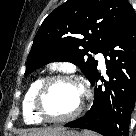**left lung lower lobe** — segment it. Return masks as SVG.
<instances>
[{
  "mask_svg": "<svg viewBox=\"0 0 136 136\" xmlns=\"http://www.w3.org/2000/svg\"><path fill=\"white\" fill-rule=\"evenodd\" d=\"M102 53L109 81L97 86L96 71L89 79L92 86L96 85L90 110L64 126L92 130L102 136H128L136 99V15L132 6Z\"/></svg>",
  "mask_w": 136,
  "mask_h": 136,
  "instance_id": "1",
  "label": "left lung lower lobe"
}]
</instances>
